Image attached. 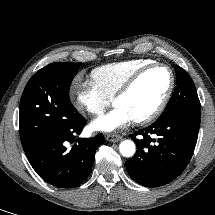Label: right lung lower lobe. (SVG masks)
<instances>
[{
    "label": "right lung lower lobe",
    "instance_id": "right-lung-lower-lobe-1",
    "mask_svg": "<svg viewBox=\"0 0 215 215\" xmlns=\"http://www.w3.org/2000/svg\"><path fill=\"white\" fill-rule=\"evenodd\" d=\"M85 123L80 116L68 127L24 150L31 166L44 181L59 188H70L88 177L95 151L104 142V136L98 134L94 138L77 139L71 150L65 146L75 134H80Z\"/></svg>",
    "mask_w": 215,
    "mask_h": 215
}]
</instances>
